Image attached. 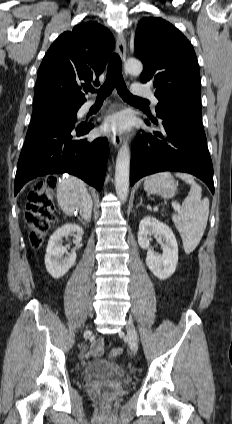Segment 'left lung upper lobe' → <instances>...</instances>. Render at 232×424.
<instances>
[{
	"mask_svg": "<svg viewBox=\"0 0 232 424\" xmlns=\"http://www.w3.org/2000/svg\"><path fill=\"white\" fill-rule=\"evenodd\" d=\"M134 45L144 64L140 80L142 83L154 80L158 108L176 101L201 104L196 54L177 28L161 18L145 17L138 23Z\"/></svg>",
	"mask_w": 232,
	"mask_h": 424,
	"instance_id": "1",
	"label": "left lung upper lobe"
}]
</instances>
